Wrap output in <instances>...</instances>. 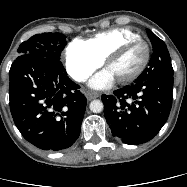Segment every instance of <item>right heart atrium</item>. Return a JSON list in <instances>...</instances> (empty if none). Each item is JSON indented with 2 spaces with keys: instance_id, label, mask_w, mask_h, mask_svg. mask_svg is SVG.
Instances as JSON below:
<instances>
[{
  "instance_id": "d8ad5b80",
  "label": "right heart atrium",
  "mask_w": 187,
  "mask_h": 187,
  "mask_svg": "<svg viewBox=\"0 0 187 187\" xmlns=\"http://www.w3.org/2000/svg\"><path fill=\"white\" fill-rule=\"evenodd\" d=\"M102 63L103 59L84 40L75 39L66 47V68L76 81L86 80Z\"/></svg>"
}]
</instances>
